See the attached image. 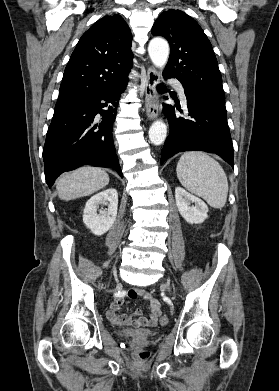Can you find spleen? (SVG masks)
I'll list each match as a JSON object with an SVG mask.
<instances>
[{
	"label": "spleen",
	"instance_id": "3e777b00",
	"mask_svg": "<svg viewBox=\"0 0 279 391\" xmlns=\"http://www.w3.org/2000/svg\"><path fill=\"white\" fill-rule=\"evenodd\" d=\"M177 177L188 191L221 209L227 201L228 181L221 165L204 152H186L177 163Z\"/></svg>",
	"mask_w": 279,
	"mask_h": 391
}]
</instances>
